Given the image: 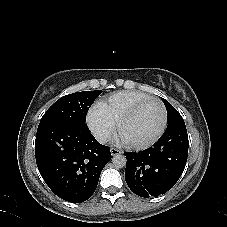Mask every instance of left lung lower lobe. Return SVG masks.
Listing matches in <instances>:
<instances>
[{
	"instance_id": "obj_1",
	"label": "left lung lower lobe",
	"mask_w": 227,
	"mask_h": 227,
	"mask_svg": "<svg viewBox=\"0 0 227 227\" xmlns=\"http://www.w3.org/2000/svg\"><path fill=\"white\" fill-rule=\"evenodd\" d=\"M185 123L168 125L154 146L127 158L125 180L136 195L149 198L169 191L179 180L188 156Z\"/></svg>"
}]
</instances>
